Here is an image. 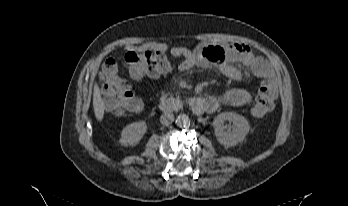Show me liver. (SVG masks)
Wrapping results in <instances>:
<instances>
[{"instance_id":"6515ba94","label":"liver","mask_w":348,"mask_h":206,"mask_svg":"<svg viewBox=\"0 0 348 206\" xmlns=\"http://www.w3.org/2000/svg\"><path fill=\"white\" fill-rule=\"evenodd\" d=\"M93 107H94V113H95L96 119L98 121H101L104 117L105 105L101 96L99 86L97 84L94 87Z\"/></svg>"}]
</instances>
